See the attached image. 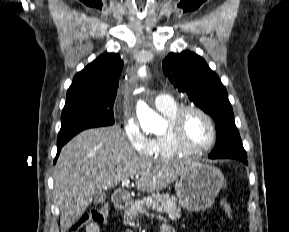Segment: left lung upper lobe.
I'll use <instances>...</instances> for the list:
<instances>
[{
    "instance_id": "left-lung-upper-lobe-1",
    "label": "left lung upper lobe",
    "mask_w": 289,
    "mask_h": 232,
    "mask_svg": "<svg viewBox=\"0 0 289 232\" xmlns=\"http://www.w3.org/2000/svg\"><path fill=\"white\" fill-rule=\"evenodd\" d=\"M163 72L178 91L215 121L217 139L209 158H246L226 88L205 60L190 51L170 53L163 60Z\"/></svg>"
}]
</instances>
